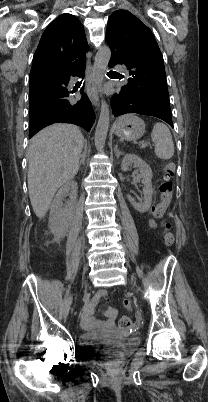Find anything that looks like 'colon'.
Masks as SVG:
<instances>
[{"label":"colon","mask_w":208,"mask_h":402,"mask_svg":"<svg viewBox=\"0 0 208 402\" xmlns=\"http://www.w3.org/2000/svg\"><path fill=\"white\" fill-rule=\"evenodd\" d=\"M176 169V165L174 162H166L162 165V183L160 185V196L158 201L154 204V208L152 209V215L160 219L166 208L168 207L172 191H173V184L171 182V177L173 176ZM163 240L167 246H172L175 243L176 236L172 233L168 228L163 232ZM123 304H128V299H123ZM131 324V318L129 315H122L119 319V325L121 327H128Z\"/></svg>","instance_id":"colon-1"}]
</instances>
